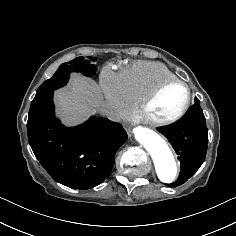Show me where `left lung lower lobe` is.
I'll return each mask as SVG.
<instances>
[{"instance_id": "1", "label": "left lung lower lobe", "mask_w": 236, "mask_h": 236, "mask_svg": "<svg viewBox=\"0 0 236 236\" xmlns=\"http://www.w3.org/2000/svg\"><path fill=\"white\" fill-rule=\"evenodd\" d=\"M158 130L168 139L181 163L177 181L167 186L182 185L200 168L207 152L208 130L200 101L196 98L178 123Z\"/></svg>"}]
</instances>
